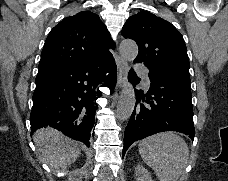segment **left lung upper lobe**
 Returning <instances> with one entry per match:
<instances>
[{
	"label": "left lung upper lobe",
	"mask_w": 228,
	"mask_h": 181,
	"mask_svg": "<svg viewBox=\"0 0 228 181\" xmlns=\"http://www.w3.org/2000/svg\"><path fill=\"white\" fill-rule=\"evenodd\" d=\"M122 35L137 43L139 53L136 60L190 77L184 39L168 21L148 11H141L126 21Z\"/></svg>",
	"instance_id": "5c2ea615"
}]
</instances>
